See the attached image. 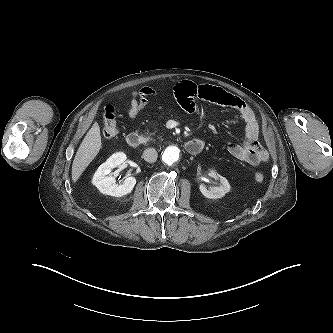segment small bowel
Returning <instances> with one entry per match:
<instances>
[{
  "instance_id": "small-bowel-1",
  "label": "small bowel",
  "mask_w": 333,
  "mask_h": 333,
  "mask_svg": "<svg viewBox=\"0 0 333 333\" xmlns=\"http://www.w3.org/2000/svg\"><path fill=\"white\" fill-rule=\"evenodd\" d=\"M155 94L156 92L149 87L134 91L128 105L129 117L136 118L148 104V97ZM174 94L181 106L189 112L195 110L197 99L236 110L245 123V141L243 144L229 143L227 146L228 153L252 166H257L268 159L267 151L258 141L259 123L257 116L242 99L220 87L196 84L191 81L178 83L174 88Z\"/></svg>"
}]
</instances>
